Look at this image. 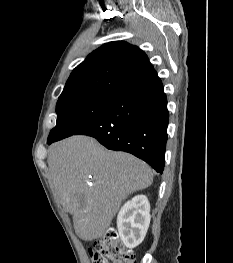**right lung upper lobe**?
Instances as JSON below:
<instances>
[{
    "instance_id": "cb5924a9",
    "label": "right lung upper lobe",
    "mask_w": 233,
    "mask_h": 263,
    "mask_svg": "<svg viewBox=\"0 0 233 263\" xmlns=\"http://www.w3.org/2000/svg\"><path fill=\"white\" fill-rule=\"evenodd\" d=\"M156 76L141 49L124 41L110 42L73 70L60 96L80 92L119 94Z\"/></svg>"
}]
</instances>
